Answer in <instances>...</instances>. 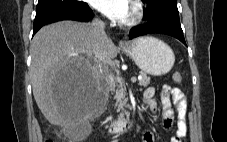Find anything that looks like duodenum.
Here are the masks:
<instances>
[{
	"instance_id": "410a0bca",
	"label": "duodenum",
	"mask_w": 227,
	"mask_h": 142,
	"mask_svg": "<svg viewBox=\"0 0 227 142\" xmlns=\"http://www.w3.org/2000/svg\"><path fill=\"white\" fill-rule=\"evenodd\" d=\"M135 121L129 118H120L114 120L109 125V132L112 134L128 133L135 128Z\"/></svg>"
}]
</instances>
